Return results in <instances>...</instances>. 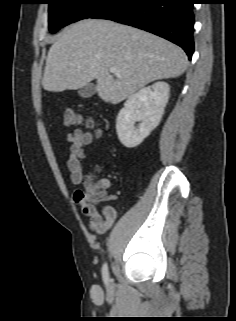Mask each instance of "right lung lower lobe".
<instances>
[{
  "instance_id": "obj_1",
  "label": "right lung lower lobe",
  "mask_w": 236,
  "mask_h": 321,
  "mask_svg": "<svg viewBox=\"0 0 236 321\" xmlns=\"http://www.w3.org/2000/svg\"><path fill=\"white\" fill-rule=\"evenodd\" d=\"M194 0H111L89 18L108 19L161 36L194 52Z\"/></svg>"
}]
</instances>
